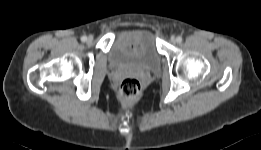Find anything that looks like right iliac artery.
I'll list each match as a JSON object with an SVG mask.
<instances>
[{
	"label": "right iliac artery",
	"mask_w": 261,
	"mask_h": 150,
	"mask_svg": "<svg viewBox=\"0 0 261 150\" xmlns=\"http://www.w3.org/2000/svg\"><path fill=\"white\" fill-rule=\"evenodd\" d=\"M86 40H87V37H86V36H82V37H81V41H82V42H85Z\"/></svg>",
	"instance_id": "82829eb1"
}]
</instances>
